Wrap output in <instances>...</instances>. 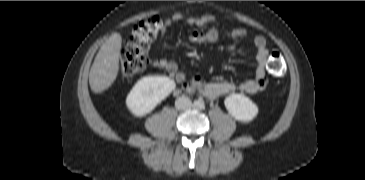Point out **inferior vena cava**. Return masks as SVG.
Listing matches in <instances>:
<instances>
[{"mask_svg": "<svg viewBox=\"0 0 365 180\" xmlns=\"http://www.w3.org/2000/svg\"><path fill=\"white\" fill-rule=\"evenodd\" d=\"M192 106V102L188 97L182 96L176 99L175 101V107L178 110H185L189 109Z\"/></svg>", "mask_w": 365, "mask_h": 180, "instance_id": "602c4592", "label": "inferior vena cava"}]
</instances>
